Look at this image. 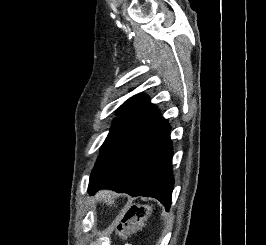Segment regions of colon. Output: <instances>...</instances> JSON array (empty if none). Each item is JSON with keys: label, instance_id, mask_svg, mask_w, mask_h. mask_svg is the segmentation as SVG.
I'll use <instances>...</instances> for the list:
<instances>
[{"label": "colon", "instance_id": "1", "mask_svg": "<svg viewBox=\"0 0 266 245\" xmlns=\"http://www.w3.org/2000/svg\"><path fill=\"white\" fill-rule=\"evenodd\" d=\"M148 213L149 209L144 204H137L127 208L122 213L121 220L116 227L117 234L121 238H127L138 231Z\"/></svg>", "mask_w": 266, "mask_h": 245}]
</instances>
